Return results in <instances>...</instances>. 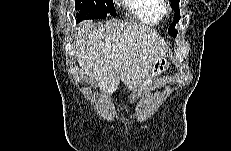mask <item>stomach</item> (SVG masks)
Returning <instances> with one entry per match:
<instances>
[{
    "label": "stomach",
    "mask_w": 231,
    "mask_h": 151,
    "mask_svg": "<svg viewBox=\"0 0 231 151\" xmlns=\"http://www.w3.org/2000/svg\"><path fill=\"white\" fill-rule=\"evenodd\" d=\"M168 67L169 62L166 56L157 57L147 78L138 88L133 91L130 98L135 100V98L140 97L146 91L153 89L158 76L162 75L168 69Z\"/></svg>",
    "instance_id": "1"
}]
</instances>
